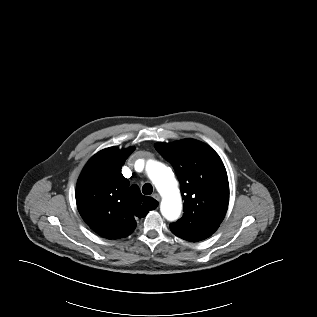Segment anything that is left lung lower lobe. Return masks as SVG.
Returning <instances> with one entry per match:
<instances>
[{"label": "left lung lower lobe", "mask_w": 317, "mask_h": 317, "mask_svg": "<svg viewBox=\"0 0 317 317\" xmlns=\"http://www.w3.org/2000/svg\"><path fill=\"white\" fill-rule=\"evenodd\" d=\"M218 227V224L200 222L185 225L180 229L174 226H170V229L172 233L179 238L190 242H197L211 236L218 229Z\"/></svg>", "instance_id": "obj_1"}]
</instances>
